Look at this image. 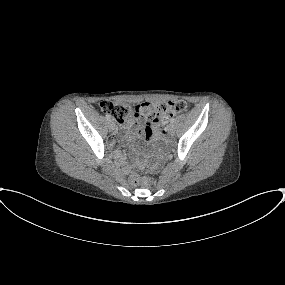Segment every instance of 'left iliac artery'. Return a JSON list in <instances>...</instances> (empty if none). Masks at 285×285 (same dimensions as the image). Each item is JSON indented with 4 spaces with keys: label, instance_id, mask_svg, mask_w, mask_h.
Listing matches in <instances>:
<instances>
[{
    "label": "left iliac artery",
    "instance_id": "44dca946",
    "mask_svg": "<svg viewBox=\"0 0 285 285\" xmlns=\"http://www.w3.org/2000/svg\"><path fill=\"white\" fill-rule=\"evenodd\" d=\"M174 120H175L174 118H171V119H170V123L173 124V123H174Z\"/></svg>",
    "mask_w": 285,
    "mask_h": 285
}]
</instances>
